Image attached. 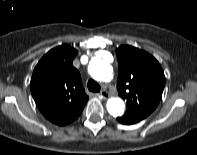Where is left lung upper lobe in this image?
<instances>
[{"instance_id": "1", "label": "left lung upper lobe", "mask_w": 197, "mask_h": 155, "mask_svg": "<svg viewBox=\"0 0 197 155\" xmlns=\"http://www.w3.org/2000/svg\"><path fill=\"white\" fill-rule=\"evenodd\" d=\"M116 54L118 94L127 101L124 117L139 122L150 115L161 100L165 85L163 69L152 55L132 46H121Z\"/></svg>"}]
</instances>
